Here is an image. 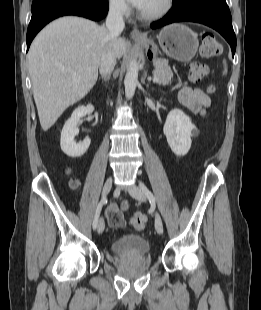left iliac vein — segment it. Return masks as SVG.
Returning <instances> with one entry per match:
<instances>
[{"label": "left iliac vein", "mask_w": 261, "mask_h": 310, "mask_svg": "<svg viewBox=\"0 0 261 310\" xmlns=\"http://www.w3.org/2000/svg\"><path fill=\"white\" fill-rule=\"evenodd\" d=\"M128 191H129V194L133 198H135L139 201H145L146 200L145 194L143 193V191L138 186L133 185V186L128 188ZM155 229H156L158 234L163 233V222H162L161 216L157 212H155Z\"/></svg>", "instance_id": "4c4485c4"}]
</instances>
